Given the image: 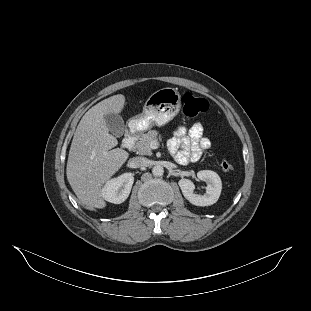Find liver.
<instances>
[{"label":"liver","mask_w":311,"mask_h":311,"mask_svg":"<svg viewBox=\"0 0 311 311\" xmlns=\"http://www.w3.org/2000/svg\"><path fill=\"white\" fill-rule=\"evenodd\" d=\"M121 94L110 96L90 108L80 120L70 146L67 178L75 194L89 209L103 208L100 185L125 162L128 153L109 133L104 114L118 113L124 105Z\"/></svg>","instance_id":"obj_1"}]
</instances>
